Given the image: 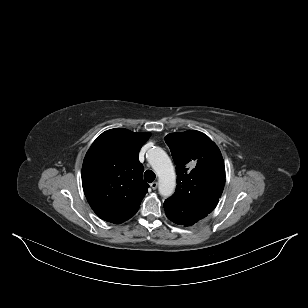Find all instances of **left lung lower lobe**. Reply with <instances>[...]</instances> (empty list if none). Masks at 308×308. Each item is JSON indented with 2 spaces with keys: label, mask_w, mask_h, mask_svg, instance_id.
Instances as JSON below:
<instances>
[{
  "label": "left lung lower lobe",
  "mask_w": 308,
  "mask_h": 308,
  "mask_svg": "<svg viewBox=\"0 0 308 308\" xmlns=\"http://www.w3.org/2000/svg\"><path fill=\"white\" fill-rule=\"evenodd\" d=\"M194 223H192V224H189V225H185V226H190V225H193Z\"/></svg>",
  "instance_id": "obj_1"
}]
</instances>
